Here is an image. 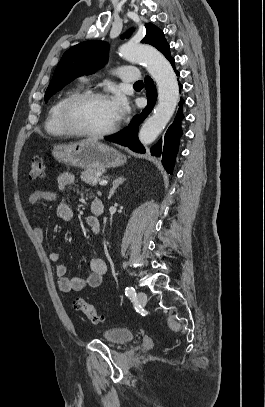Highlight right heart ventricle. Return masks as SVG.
<instances>
[{
	"instance_id": "1",
	"label": "right heart ventricle",
	"mask_w": 265,
	"mask_h": 407,
	"mask_svg": "<svg viewBox=\"0 0 265 407\" xmlns=\"http://www.w3.org/2000/svg\"><path fill=\"white\" fill-rule=\"evenodd\" d=\"M80 92V88L76 87L70 89L62 96H60L50 107L48 116L45 121V130L48 134L57 137H66L70 134L62 127L60 121V112L65 101L73 94Z\"/></svg>"
}]
</instances>
